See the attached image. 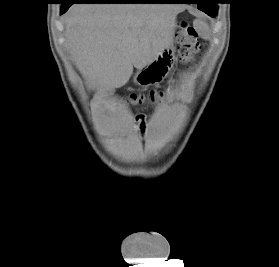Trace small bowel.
Listing matches in <instances>:
<instances>
[{
  "instance_id": "small-bowel-1",
  "label": "small bowel",
  "mask_w": 279,
  "mask_h": 267,
  "mask_svg": "<svg viewBox=\"0 0 279 267\" xmlns=\"http://www.w3.org/2000/svg\"><path fill=\"white\" fill-rule=\"evenodd\" d=\"M139 126L141 129H144L145 128V121L143 119V117H139Z\"/></svg>"
}]
</instances>
